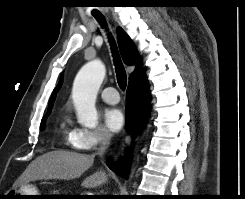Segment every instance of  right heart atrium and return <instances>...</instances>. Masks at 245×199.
Instances as JSON below:
<instances>
[{
	"mask_svg": "<svg viewBox=\"0 0 245 199\" xmlns=\"http://www.w3.org/2000/svg\"><path fill=\"white\" fill-rule=\"evenodd\" d=\"M111 135L103 127L76 128L74 133V146L78 150H94L110 142Z\"/></svg>",
	"mask_w": 245,
	"mask_h": 199,
	"instance_id": "d8ad5b80",
	"label": "right heart atrium"
}]
</instances>
